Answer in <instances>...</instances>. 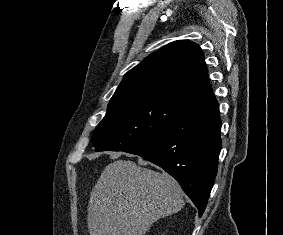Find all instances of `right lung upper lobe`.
<instances>
[{"mask_svg": "<svg viewBox=\"0 0 283 235\" xmlns=\"http://www.w3.org/2000/svg\"><path fill=\"white\" fill-rule=\"evenodd\" d=\"M212 90L204 55L188 40L172 42L128 71L110 103L134 99H169L184 104Z\"/></svg>", "mask_w": 283, "mask_h": 235, "instance_id": "1", "label": "right lung upper lobe"}]
</instances>
